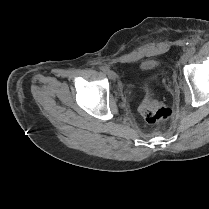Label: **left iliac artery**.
<instances>
[{
  "label": "left iliac artery",
  "instance_id": "obj_1",
  "mask_svg": "<svg viewBox=\"0 0 209 209\" xmlns=\"http://www.w3.org/2000/svg\"><path fill=\"white\" fill-rule=\"evenodd\" d=\"M196 52V48L194 46L190 47L188 50L189 54H194Z\"/></svg>",
  "mask_w": 209,
  "mask_h": 209
}]
</instances>
